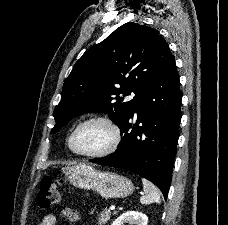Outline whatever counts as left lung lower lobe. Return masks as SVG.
Segmentation results:
<instances>
[{
    "label": "left lung lower lobe",
    "mask_w": 228,
    "mask_h": 225,
    "mask_svg": "<svg viewBox=\"0 0 228 225\" xmlns=\"http://www.w3.org/2000/svg\"><path fill=\"white\" fill-rule=\"evenodd\" d=\"M181 99L179 75L172 56L120 124L122 139L117 150L90 161L138 174L154 183L166 199L179 138ZM135 112L138 120L132 127L129 120Z\"/></svg>",
    "instance_id": "0a47b994"
}]
</instances>
